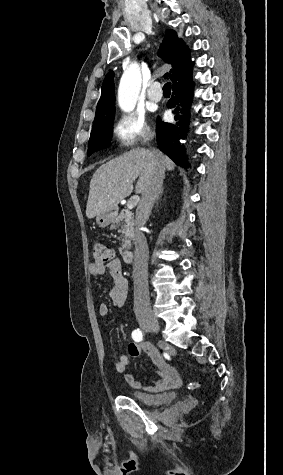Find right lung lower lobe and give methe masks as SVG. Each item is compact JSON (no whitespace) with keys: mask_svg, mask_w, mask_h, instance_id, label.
<instances>
[{"mask_svg":"<svg viewBox=\"0 0 283 475\" xmlns=\"http://www.w3.org/2000/svg\"><path fill=\"white\" fill-rule=\"evenodd\" d=\"M194 82L192 71L180 76L172 84V96L167 107L173 109L177 123H165L158 120L156 127L158 146L177 165L187 164V156L183 146L178 142L185 139L189 131L190 105L192 103Z\"/></svg>","mask_w":283,"mask_h":475,"instance_id":"obj_1","label":"right lung lower lobe"}]
</instances>
